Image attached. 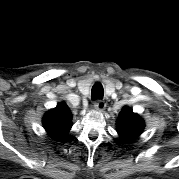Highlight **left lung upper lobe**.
Returning <instances> with one entry per match:
<instances>
[{
    "mask_svg": "<svg viewBox=\"0 0 179 179\" xmlns=\"http://www.w3.org/2000/svg\"><path fill=\"white\" fill-rule=\"evenodd\" d=\"M116 124L118 134L126 141L138 137L144 129L142 118L128 107H124L120 112Z\"/></svg>",
    "mask_w": 179,
    "mask_h": 179,
    "instance_id": "5c2ea615",
    "label": "left lung upper lobe"
}]
</instances>
